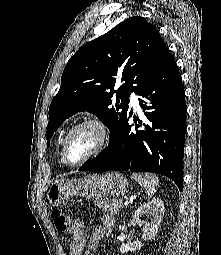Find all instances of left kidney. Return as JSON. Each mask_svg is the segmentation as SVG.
<instances>
[{
  "label": "left kidney",
  "instance_id": "left-kidney-1",
  "mask_svg": "<svg viewBox=\"0 0 221 255\" xmlns=\"http://www.w3.org/2000/svg\"><path fill=\"white\" fill-rule=\"evenodd\" d=\"M163 215L164 204L159 198L143 204L135 211L133 219L141 227L142 238L144 240H151L156 236L163 220ZM142 217H146L147 221H141ZM141 247L142 243L138 240L130 244H122L120 246V253L134 252L140 250Z\"/></svg>",
  "mask_w": 221,
  "mask_h": 255
}]
</instances>
